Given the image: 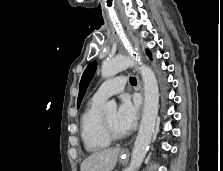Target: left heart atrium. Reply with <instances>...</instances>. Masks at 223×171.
I'll use <instances>...</instances> for the list:
<instances>
[{"mask_svg": "<svg viewBox=\"0 0 223 171\" xmlns=\"http://www.w3.org/2000/svg\"><path fill=\"white\" fill-rule=\"evenodd\" d=\"M138 109L129 98L124 97L116 112V124L123 133L131 131L137 121Z\"/></svg>", "mask_w": 223, "mask_h": 171, "instance_id": "39dd6f15", "label": "left heart atrium"}]
</instances>
